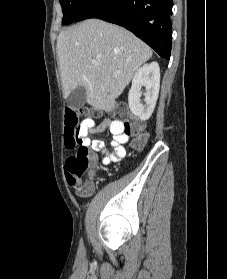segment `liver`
<instances>
[{"mask_svg":"<svg viewBox=\"0 0 227 279\" xmlns=\"http://www.w3.org/2000/svg\"><path fill=\"white\" fill-rule=\"evenodd\" d=\"M57 54L64 97L82 86L89 105L111 112L152 50L123 27L88 19L60 32Z\"/></svg>","mask_w":227,"mask_h":279,"instance_id":"6515ba94","label":"liver"}]
</instances>
